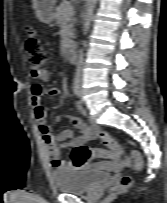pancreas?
Segmentation results:
<instances>
[{"instance_id": "obj_1", "label": "pancreas", "mask_w": 167, "mask_h": 203, "mask_svg": "<svg viewBox=\"0 0 167 203\" xmlns=\"http://www.w3.org/2000/svg\"><path fill=\"white\" fill-rule=\"evenodd\" d=\"M71 6L68 2L63 1L57 8L55 13V21L56 24L60 27H63L64 25L67 26L66 28V46L67 48H70L72 44V38L74 35V24L75 19L73 18V15L69 16L66 13V8Z\"/></svg>"}]
</instances>
